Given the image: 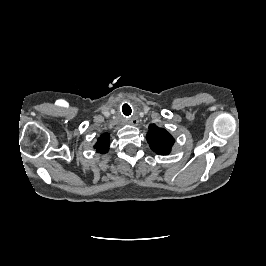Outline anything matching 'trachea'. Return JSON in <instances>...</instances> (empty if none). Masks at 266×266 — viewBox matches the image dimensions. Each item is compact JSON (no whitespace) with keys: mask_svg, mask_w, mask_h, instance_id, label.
<instances>
[{"mask_svg":"<svg viewBox=\"0 0 266 266\" xmlns=\"http://www.w3.org/2000/svg\"><path fill=\"white\" fill-rule=\"evenodd\" d=\"M122 111L126 116H129L132 112L131 107L128 104L123 105Z\"/></svg>","mask_w":266,"mask_h":266,"instance_id":"trachea-1","label":"trachea"}]
</instances>
